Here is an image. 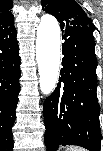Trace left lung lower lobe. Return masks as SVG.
I'll return each mask as SVG.
<instances>
[{
	"label": "left lung lower lobe",
	"instance_id": "0a47b994",
	"mask_svg": "<svg viewBox=\"0 0 103 151\" xmlns=\"http://www.w3.org/2000/svg\"><path fill=\"white\" fill-rule=\"evenodd\" d=\"M62 37L61 77L44 104L45 145L47 151H56L60 145L100 151L94 36L84 29L67 28Z\"/></svg>",
	"mask_w": 103,
	"mask_h": 151
}]
</instances>
